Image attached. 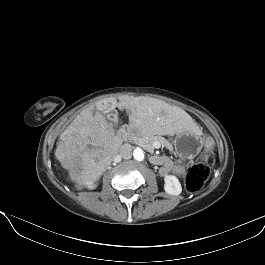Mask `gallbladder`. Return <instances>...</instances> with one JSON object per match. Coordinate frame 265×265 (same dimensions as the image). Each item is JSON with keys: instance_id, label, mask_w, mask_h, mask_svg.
<instances>
[{"instance_id": "obj_1", "label": "gallbladder", "mask_w": 265, "mask_h": 265, "mask_svg": "<svg viewBox=\"0 0 265 265\" xmlns=\"http://www.w3.org/2000/svg\"><path fill=\"white\" fill-rule=\"evenodd\" d=\"M108 119L114 124V127H116L117 123H118V117L117 114L115 113H111L109 115H107Z\"/></svg>"}]
</instances>
